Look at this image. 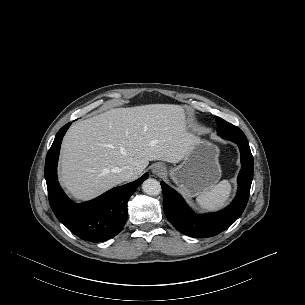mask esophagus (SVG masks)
Wrapping results in <instances>:
<instances>
[{
	"label": "esophagus",
	"mask_w": 305,
	"mask_h": 305,
	"mask_svg": "<svg viewBox=\"0 0 305 305\" xmlns=\"http://www.w3.org/2000/svg\"><path fill=\"white\" fill-rule=\"evenodd\" d=\"M165 172V167L164 165L158 163V164H155L153 167H152V173L153 175L155 176H161L163 175Z\"/></svg>",
	"instance_id": "obj_1"
}]
</instances>
